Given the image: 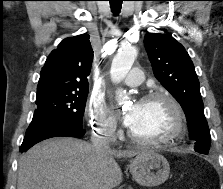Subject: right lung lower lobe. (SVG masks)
I'll use <instances>...</instances> for the list:
<instances>
[{"label": "right lung lower lobe", "mask_w": 223, "mask_h": 189, "mask_svg": "<svg viewBox=\"0 0 223 189\" xmlns=\"http://www.w3.org/2000/svg\"><path fill=\"white\" fill-rule=\"evenodd\" d=\"M84 134L83 128L75 127L67 121L33 116L19 150L26 152L36 143L52 137H81Z\"/></svg>", "instance_id": "1"}]
</instances>
